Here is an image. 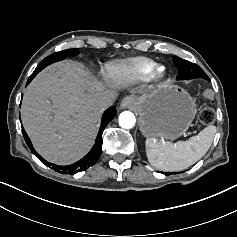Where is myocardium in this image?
<instances>
[{
	"label": "myocardium",
	"mask_w": 237,
	"mask_h": 237,
	"mask_svg": "<svg viewBox=\"0 0 237 237\" xmlns=\"http://www.w3.org/2000/svg\"><path fill=\"white\" fill-rule=\"evenodd\" d=\"M151 76L157 80L165 78L166 68L163 65H155L151 71Z\"/></svg>",
	"instance_id": "obj_1"
}]
</instances>
